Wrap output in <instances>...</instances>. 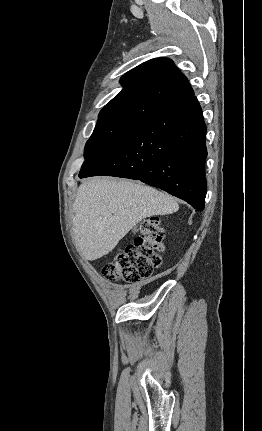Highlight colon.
Returning <instances> with one entry per match:
<instances>
[{"mask_svg": "<svg viewBox=\"0 0 262 431\" xmlns=\"http://www.w3.org/2000/svg\"><path fill=\"white\" fill-rule=\"evenodd\" d=\"M163 237L164 230L157 217L145 220L133 243L126 245L104 266L103 275L126 283L149 278L162 264Z\"/></svg>", "mask_w": 262, "mask_h": 431, "instance_id": "1", "label": "colon"}]
</instances>
